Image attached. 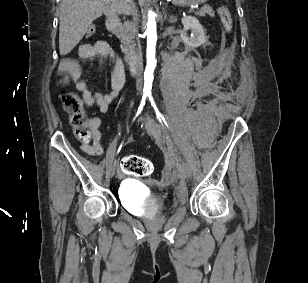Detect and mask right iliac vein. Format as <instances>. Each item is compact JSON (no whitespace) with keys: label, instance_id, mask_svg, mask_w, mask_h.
<instances>
[{"label":"right iliac vein","instance_id":"1","mask_svg":"<svg viewBox=\"0 0 308 283\" xmlns=\"http://www.w3.org/2000/svg\"><path fill=\"white\" fill-rule=\"evenodd\" d=\"M116 167H117V160L114 161V163L111 167V175L112 176L115 174Z\"/></svg>","mask_w":308,"mask_h":283}]
</instances>
